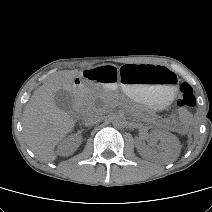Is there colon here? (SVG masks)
Masks as SVG:
<instances>
[{
	"instance_id": "obj_1",
	"label": "colon",
	"mask_w": 212,
	"mask_h": 212,
	"mask_svg": "<svg viewBox=\"0 0 212 212\" xmlns=\"http://www.w3.org/2000/svg\"><path fill=\"white\" fill-rule=\"evenodd\" d=\"M176 104L180 109L182 119L189 122L191 120V110L196 106V96L191 85L188 83L180 85Z\"/></svg>"
}]
</instances>
